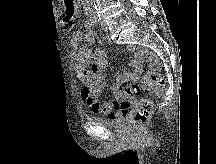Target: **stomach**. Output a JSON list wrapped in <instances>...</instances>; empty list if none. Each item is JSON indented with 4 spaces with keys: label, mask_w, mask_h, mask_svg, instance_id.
Instances as JSON below:
<instances>
[{
    "label": "stomach",
    "mask_w": 216,
    "mask_h": 164,
    "mask_svg": "<svg viewBox=\"0 0 216 164\" xmlns=\"http://www.w3.org/2000/svg\"><path fill=\"white\" fill-rule=\"evenodd\" d=\"M63 3H65V15H62V20H76V17H78V12L74 0H63Z\"/></svg>",
    "instance_id": "0dacf381"
}]
</instances>
